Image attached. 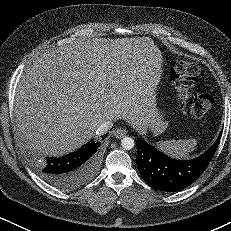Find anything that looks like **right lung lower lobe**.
Segmentation results:
<instances>
[{
  "instance_id": "obj_1",
  "label": "right lung lower lobe",
  "mask_w": 231,
  "mask_h": 231,
  "mask_svg": "<svg viewBox=\"0 0 231 231\" xmlns=\"http://www.w3.org/2000/svg\"><path fill=\"white\" fill-rule=\"evenodd\" d=\"M100 142L91 141L62 157H49L34 164L37 173L61 190H74L90 181L99 170Z\"/></svg>"
}]
</instances>
